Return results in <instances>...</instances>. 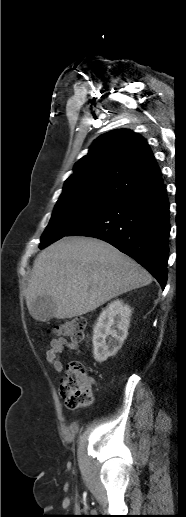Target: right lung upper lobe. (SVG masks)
<instances>
[{"instance_id":"right-lung-upper-lobe-1","label":"right lung upper lobe","mask_w":186,"mask_h":517,"mask_svg":"<svg viewBox=\"0 0 186 517\" xmlns=\"http://www.w3.org/2000/svg\"><path fill=\"white\" fill-rule=\"evenodd\" d=\"M161 172L146 140L130 130L101 135L74 166L60 196L98 195L120 198L157 183Z\"/></svg>"}]
</instances>
